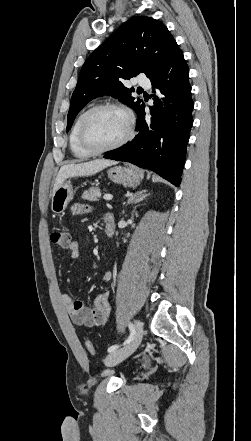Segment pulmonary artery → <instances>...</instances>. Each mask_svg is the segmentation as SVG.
Returning a JSON list of instances; mask_svg holds the SVG:
<instances>
[{"label": "pulmonary artery", "instance_id": "pulmonary-artery-1", "mask_svg": "<svg viewBox=\"0 0 251 441\" xmlns=\"http://www.w3.org/2000/svg\"><path fill=\"white\" fill-rule=\"evenodd\" d=\"M136 83L139 86L146 87V88H149L151 86L149 79H147L145 77H138L136 80Z\"/></svg>", "mask_w": 251, "mask_h": 441}]
</instances>
